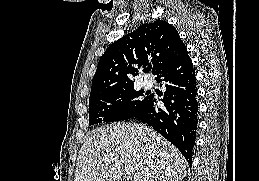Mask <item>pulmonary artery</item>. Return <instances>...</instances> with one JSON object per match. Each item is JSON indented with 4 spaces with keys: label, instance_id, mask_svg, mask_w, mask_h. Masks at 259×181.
<instances>
[{
    "label": "pulmonary artery",
    "instance_id": "pulmonary-artery-1",
    "mask_svg": "<svg viewBox=\"0 0 259 181\" xmlns=\"http://www.w3.org/2000/svg\"><path fill=\"white\" fill-rule=\"evenodd\" d=\"M143 85L145 88H149V87H151L152 83L148 80H145V81H143Z\"/></svg>",
    "mask_w": 259,
    "mask_h": 181
}]
</instances>
